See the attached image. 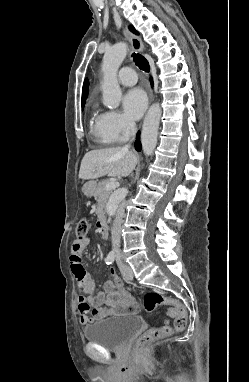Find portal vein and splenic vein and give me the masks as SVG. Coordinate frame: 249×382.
Returning <instances> with one entry per match:
<instances>
[{"label": "portal vein and splenic vein", "instance_id": "portal-vein-and-splenic-vein-1", "mask_svg": "<svg viewBox=\"0 0 249 382\" xmlns=\"http://www.w3.org/2000/svg\"><path fill=\"white\" fill-rule=\"evenodd\" d=\"M119 185L120 184L117 181H110L106 184L105 189L110 191L116 189L117 187H119Z\"/></svg>", "mask_w": 249, "mask_h": 382}]
</instances>
